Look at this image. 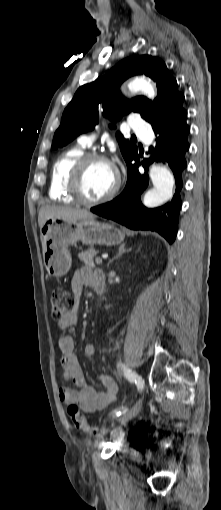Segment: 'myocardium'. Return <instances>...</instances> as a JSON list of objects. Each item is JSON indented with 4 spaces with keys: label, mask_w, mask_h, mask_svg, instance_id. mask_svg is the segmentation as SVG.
<instances>
[{
    "label": "myocardium",
    "mask_w": 221,
    "mask_h": 510,
    "mask_svg": "<svg viewBox=\"0 0 221 510\" xmlns=\"http://www.w3.org/2000/svg\"><path fill=\"white\" fill-rule=\"evenodd\" d=\"M95 161H102L111 164V160L103 154L97 152L84 153L72 166L68 175L67 188L71 196L78 203L85 206L101 205L112 200L119 192L121 187V176L118 170L114 167L116 173V182L110 192L97 199H88L82 188V182L87 169V166Z\"/></svg>",
    "instance_id": "1"
}]
</instances>
